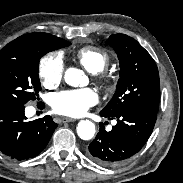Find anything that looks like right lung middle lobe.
Segmentation results:
<instances>
[{"label":"right lung middle lobe","instance_id":"1","mask_svg":"<svg viewBox=\"0 0 183 183\" xmlns=\"http://www.w3.org/2000/svg\"><path fill=\"white\" fill-rule=\"evenodd\" d=\"M66 41L62 47L69 46ZM52 49L32 44L0 52V105L26 104L38 99L41 90L39 59Z\"/></svg>","mask_w":183,"mask_h":183}]
</instances>
